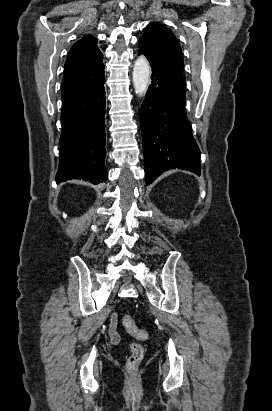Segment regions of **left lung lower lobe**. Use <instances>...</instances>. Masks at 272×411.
<instances>
[{
  "label": "left lung lower lobe",
  "instance_id": "left-lung-lower-lobe-1",
  "mask_svg": "<svg viewBox=\"0 0 272 411\" xmlns=\"http://www.w3.org/2000/svg\"><path fill=\"white\" fill-rule=\"evenodd\" d=\"M151 80L139 110L147 185L169 169L200 175V150L185 111L186 86L154 67Z\"/></svg>",
  "mask_w": 272,
  "mask_h": 411
}]
</instances>
